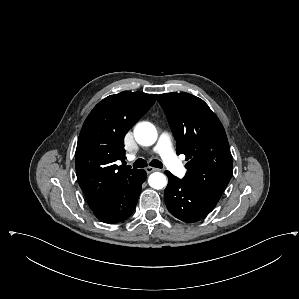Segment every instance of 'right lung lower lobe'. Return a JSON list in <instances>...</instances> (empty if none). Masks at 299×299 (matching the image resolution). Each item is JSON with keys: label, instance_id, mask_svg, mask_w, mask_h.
Segmentation results:
<instances>
[{"label": "right lung lower lobe", "instance_id": "obj_1", "mask_svg": "<svg viewBox=\"0 0 299 299\" xmlns=\"http://www.w3.org/2000/svg\"><path fill=\"white\" fill-rule=\"evenodd\" d=\"M147 175L140 169L125 178L106 198L92 209L102 222L114 224L122 222L133 213Z\"/></svg>", "mask_w": 299, "mask_h": 299}]
</instances>
